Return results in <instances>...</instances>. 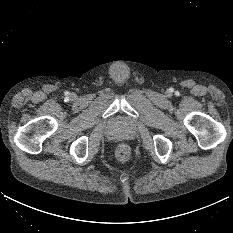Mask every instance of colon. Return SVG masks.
<instances>
[{
  "mask_svg": "<svg viewBox=\"0 0 233 233\" xmlns=\"http://www.w3.org/2000/svg\"><path fill=\"white\" fill-rule=\"evenodd\" d=\"M115 156L117 160L121 162H126L131 156V150L127 144H119L115 151Z\"/></svg>",
  "mask_w": 233,
  "mask_h": 233,
  "instance_id": "1",
  "label": "colon"
}]
</instances>
